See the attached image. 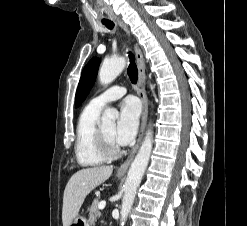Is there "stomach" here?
I'll return each mask as SVG.
<instances>
[{"label": "stomach", "instance_id": "stomach-1", "mask_svg": "<svg viewBox=\"0 0 247 226\" xmlns=\"http://www.w3.org/2000/svg\"><path fill=\"white\" fill-rule=\"evenodd\" d=\"M69 226H90V224L85 217L78 216L69 224Z\"/></svg>", "mask_w": 247, "mask_h": 226}]
</instances>
